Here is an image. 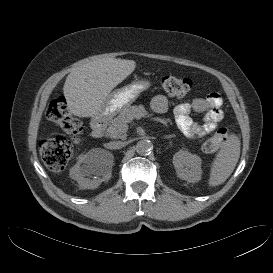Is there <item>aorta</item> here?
<instances>
[{
	"mask_svg": "<svg viewBox=\"0 0 273 273\" xmlns=\"http://www.w3.org/2000/svg\"><path fill=\"white\" fill-rule=\"evenodd\" d=\"M153 150V143L148 139L138 141L136 144V151L139 155H149Z\"/></svg>",
	"mask_w": 273,
	"mask_h": 273,
	"instance_id": "762f6f07",
	"label": "aorta"
}]
</instances>
